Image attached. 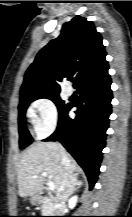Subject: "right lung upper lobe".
<instances>
[{
	"mask_svg": "<svg viewBox=\"0 0 132 217\" xmlns=\"http://www.w3.org/2000/svg\"><path fill=\"white\" fill-rule=\"evenodd\" d=\"M102 37L92 21L81 16L63 25L61 34L37 54L25 73L20 98L59 94L56 80L76 82V88L107 79L108 63Z\"/></svg>",
	"mask_w": 132,
	"mask_h": 217,
	"instance_id": "right-lung-upper-lobe-1",
	"label": "right lung upper lobe"
}]
</instances>
